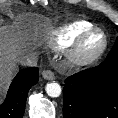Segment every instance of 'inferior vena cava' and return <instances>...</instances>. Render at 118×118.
Returning <instances> with one entry per match:
<instances>
[{
    "label": "inferior vena cava",
    "instance_id": "obj_1",
    "mask_svg": "<svg viewBox=\"0 0 118 118\" xmlns=\"http://www.w3.org/2000/svg\"><path fill=\"white\" fill-rule=\"evenodd\" d=\"M38 55L35 52L26 54L21 60L20 63L24 66H37Z\"/></svg>",
    "mask_w": 118,
    "mask_h": 118
}]
</instances>
